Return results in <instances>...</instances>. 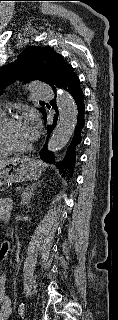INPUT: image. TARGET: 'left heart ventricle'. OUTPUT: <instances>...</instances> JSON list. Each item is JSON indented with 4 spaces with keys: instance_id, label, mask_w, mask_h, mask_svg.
<instances>
[{
    "instance_id": "1",
    "label": "left heart ventricle",
    "mask_w": 118,
    "mask_h": 320,
    "mask_svg": "<svg viewBox=\"0 0 118 320\" xmlns=\"http://www.w3.org/2000/svg\"><path fill=\"white\" fill-rule=\"evenodd\" d=\"M4 135L7 142L15 148H24L30 145L25 124L22 122L8 126Z\"/></svg>"
}]
</instances>
